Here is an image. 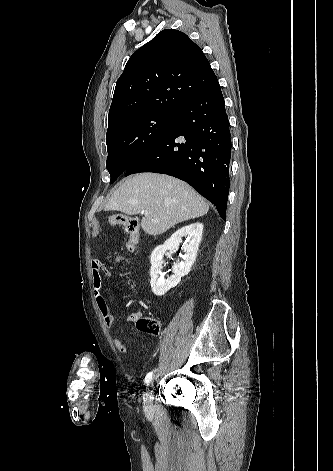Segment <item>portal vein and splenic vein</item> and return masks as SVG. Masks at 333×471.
Returning <instances> with one entry per match:
<instances>
[{
	"instance_id": "portal-vein-and-splenic-vein-1",
	"label": "portal vein and splenic vein",
	"mask_w": 333,
	"mask_h": 471,
	"mask_svg": "<svg viewBox=\"0 0 333 471\" xmlns=\"http://www.w3.org/2000/svg\"><path fill=\"white\" fill-rule=\"evenodd\" d=\"M143 213L146 215L148 214L149 212L147 210H144Z\"/></svg>"
}]
</instances>
